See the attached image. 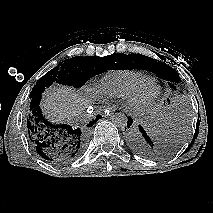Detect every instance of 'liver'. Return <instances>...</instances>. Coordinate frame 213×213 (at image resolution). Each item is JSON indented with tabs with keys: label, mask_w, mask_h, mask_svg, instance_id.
<instances>
[{
	"label": "liver",
	"mask_w": 213,
	"mask_h": 213,
	"mask_svg": "<svg viewBox=\"0 0 213 213\" xmlns=\"http://www.w3.org/2000/svg\"><path fill=\"white\" fill-rule=\"evenodd\" d=\"M88 102L72 88L55 86L46 92L42 106L53 121L72 122L87 107Z\"/></svg>",
	"instance_id": "obj_1"
}]
</instances>
